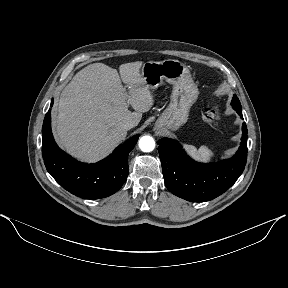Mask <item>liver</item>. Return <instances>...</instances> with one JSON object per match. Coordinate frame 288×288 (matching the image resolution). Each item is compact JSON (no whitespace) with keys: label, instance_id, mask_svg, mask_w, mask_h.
<instances>
[{"label":"liver","instance_id":"obj_1","mask_svg":"<svg viewBox=\"0 0 288 288\" xmlns=\"http://www.w3.org/2000/svg\"><path fill=\"white\" fill-rule=\"evenodd\" d=\"M141 65L140 61L122 64L118 74L103 63L90 64L64 88L53 126L69 154L87 162L106 157L125 139L124 123L132 119L138 124L142 113L150 110L154 98L139 73Z\"/></svg>","mask_w":288,"mask_h":288}]
</instances>
